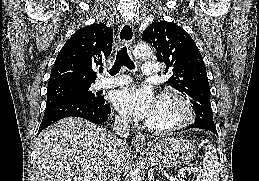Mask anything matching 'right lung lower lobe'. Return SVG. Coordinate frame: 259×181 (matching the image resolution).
I'll return each mask as SVG.
<instances>
[{"instance_id": "98d812e1", "label": "right lung lower lobe", "mask_w": 259, "mask_h": 181, "mask_svg": "<svg viewBox=\"0 0 259 181\" xmlns=\"http://www.w3.org/2000/svg\"><path fill=\"white\" fill-rule=\"evenodd\" d=\"M108 114H110V106L103 97L99 102L87 100L59 101L45 109L38 134L49 125L65 117H81L93 123L102 124L108 120Z\"/></svg>"}]
</instances>
